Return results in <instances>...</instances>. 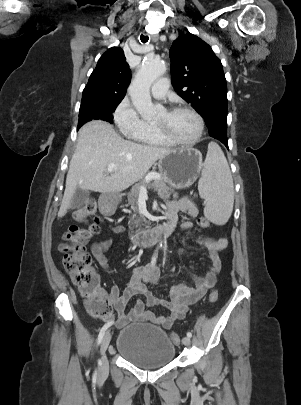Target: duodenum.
Wrapping results in <instances>:
<instances>
[{
    "instance_id": "410a0bca",
    "label": "duodenum",
    "mask_w": 301,
    "mask_h": 405,
    "mask_svg": "<svg viewBox=\"0 0 301 405\" xmlns=\"http://www.w3.org/2000/svg\"><path fill=\"white\" fill-rule=\"evenodd\" d=\"M122 197L120 190H106L100 196L99 207L104 219H112L113 213L116 212V207L119 204V199ZM176 222L168 220L164 225L152 228L147 231L140 232L133 236V243L139 247H146L157 243L160 239L171 235L175 229Z\"/></svg>"
}]
</instances>
